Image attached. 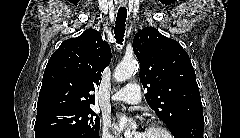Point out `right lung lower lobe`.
<instances>
[{"label":"right lung lower lobe","mask_w":240,"mask_h":138,"mask_svg":"<svg viewBox=\"0 0 240 138\" xmlns=\"http://www.w3.org/2000/svg\"><path fill=\"white\" fill-rule=\"evenodd\" d=\"M35 138H79L61 130H47L35 132Z\"/></svg>","instance_id":"right-lung-lower-lobe-1"}]
</instances>
